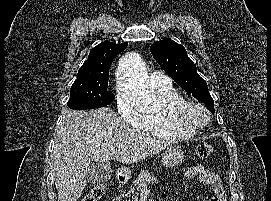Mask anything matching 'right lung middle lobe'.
I'll return each instance as SVG.
<instances>
[{
    "instance_id": "1",
    "label": "right lung middle lobe",
    "mask_w": 271,
    "mask_h": 201,
    "mask_svg": "<svg viewBox=\"0 0 271 201\" xmlns=\"http://www.w3.org/2000/svg\"><path fill=\"white\" fill-rule=\"evenodd\" d=\"M109 74L77 77L71 86L68 107L75 110L95 109L110 104L115 95L107 91Z\"/></svg>"
}]
</instances>
